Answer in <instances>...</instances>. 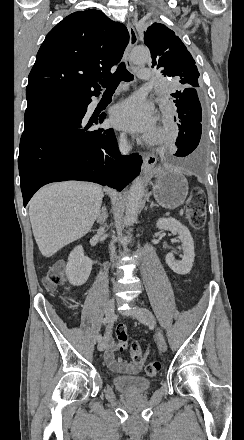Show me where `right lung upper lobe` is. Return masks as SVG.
Listing matches in <instances>:
<instances>
[{"label": "right lung upper lobe", "instance_id": "1", "mask_svg": "<svg viewBox=\"0 0 244 440\" xmlns=\"http://www.w3.org/2000/svg\"><path fill=\"white\" fill-rule=\"evenodd\" d=\"M129 43L127 28L95 9L70 14L42 43L26 88L28 99H85L100 92L97 81L111 76Z\"/></svg>", "mask_w": 244, "mask_h": 440}]
</instances>
